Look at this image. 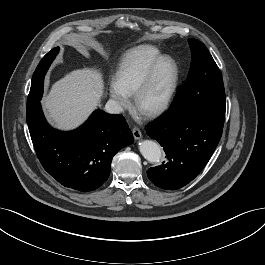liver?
<instances>
[{"instance_id": "liver-1", "label": "liver", "mask_w": 265, "mask_h": 265, "mask_svg": "<svg viewBox=\"0 0 265 265\" xmlns=\"http://www.w3.org/2000/svg\"><path fill=\"white\" fill-rule=\"evenodd\" d=\"M104 94L100 70H73L55 82L42 104L52 123L61 130L80 126L99 105Z\"/></svg>"}]
</instances>
